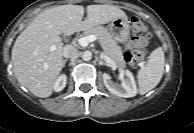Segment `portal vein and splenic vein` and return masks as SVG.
I'll return each mask as SVG.
<instances>
[{"instance_id":"18ae733b","label":"portal vein and splenic vein","mask_w":194,"mask_h":133,"mask_svg":"<svg viewBox=\"0 0 194 133\" xmlns=\"http://www.w3.org/2000/svg\"><path fill=\"white\" fill-rule=\"evenodd\" d=\"M97 40V36L95 35H89V36H86V37H82L80 39H78V43L82 46V47H86L88 46V44L90 42H94ZM55 46H51L50 48V51H54L55 50Z\"/></svg>"}]
</instances>
